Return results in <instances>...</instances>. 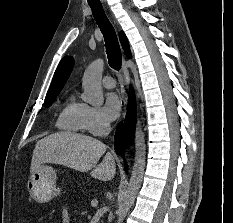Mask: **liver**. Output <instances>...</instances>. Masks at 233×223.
Masks as SVG:
<instances>
[{"mask_svg": "<svg viewBox=\"0 0 233 223\" xmlns=\"http://www.w3.org/2000/svg\"><path fill=\"white\" fill-rule=\"evenodd\" d=\"M107 145L81 133L59 131L39 139L32 155L30 171L33 173L42 163H59L76 171H90L91 177L111 181L115 177V157L107 151ZM104 155L102 161L100 157Z\"/></svg>", "mask_w": 233, "mask_h": 223, "instance_id": "liver-1", "label": "liver"}]
</instances>
